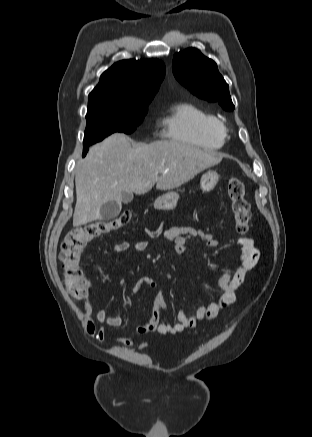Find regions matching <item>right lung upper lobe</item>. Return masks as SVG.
Listing matches in <instances>:
<instances>
[{
    "label": "right lung upper lobe",
    "mask_w": 312,
    "mask_h": 437,
    "mask_svg": "<svg viewBox=\"0 0 312 437\" xmlns=\"http://www.w3.org/2000/svg\"><path fill=\"white\" fill-rule=\"evenodd\" d=\"M165 76L163 62L122 60L105 71L88 96V111L139 112L158 91Z\"/></svg>",
    "instance_id": "right-lung-upper-lobe-1"
}]
</instances>
